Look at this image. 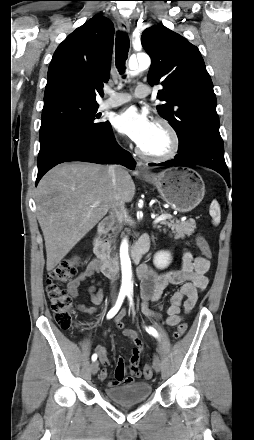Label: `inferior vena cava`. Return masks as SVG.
<instances>
[{
  "instance_id": "obj_1",
  "label": "inferior vena cava",
  "mask_w": 254,
  "mask_h": 440,
  "mask_svg": "<svg viewBox=\"0 0 254 440\" xmlns=\"http://www.w3.org/2000/svg\"><path fill=\"white\" fill-rule=\"evenodd\" d=\"M120 171V167L118 165H110L108 167L109 176L112 179L113 186L116 188L118 174ZM121 210V211H120ZM123 212H124V203L117 202L113 208L111 209V215L113 216V220L115 222V226L112 228V243L115 242V238L118 234V230L121 229V224L123 220Z\"/></svg>"
}]
</instances>
